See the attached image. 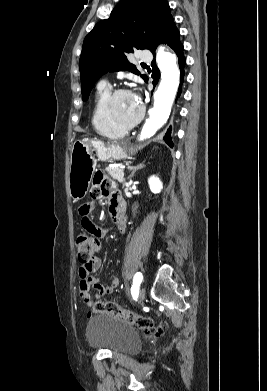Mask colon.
I'll use <instances>...</instances> for the list:
<instances>
[{
  "label": "colon",
  "instance_id": "5ec220e1",
  "mask_svg": "<svg viewBox=\"0 0 267 391\" xmlns=\"http://www.w3.org/2000/svg\"><path fill=\"white\" fill-rule=\"evenodd\" d=\"M75 247L77 250V257L82 266L88 265L100 249L99 238L81 234L75 240ZM93 313H107L119 320L133 325L143 332L161 335L163 333L165 324L155 323V321L146 316L136 314L130 310H126L118 304L110 301H96L92 305Z\"/></svg>",
  "mask_w": 267,
  "mask_h": 391
}]
</instances>
